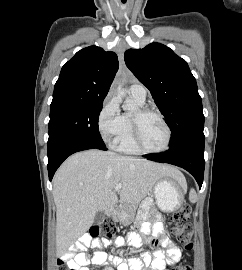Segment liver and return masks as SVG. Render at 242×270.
I'll list each match as a JSON object with an SVG mask.
<instances>
[{"label": "liver", "mask_w": 242, "mask_h": 270, "mask_svg": "<svg viewBox=\"0 0 242 270\" xmlns=\"http://www.w3.org/2000/svg\"><path fill=\"white\" fill-rule=\"evenodd\" d=\"M186 183L176 168L111 151L86 150L70 156L53 178L56 205V246L72 245L92 226L98 211L113 207L119 196L126 204H138L162 178Z\"/></svg>", "instance_id": "1"}]
</instances>
